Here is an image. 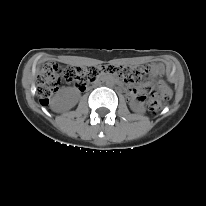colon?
Segmentation results:
<instances>
[{
  "label": "colon",
  "mask_w": 206,
  "mask_h": 206,
  "mask_svg": "<svg viewBox=\"0 0 206 206\" xmlns=\"http://www.w3.org/2000/svg\"><path fill=\"white\" fill-rule=\"evenodd\" d=\"M102 72L122 76L128 81H137L144 78L148 71L144 67L129 68L124 66H108L105 68L71 66L61 69L57 64L46 63L37 75V93L40 103L44 106L48 105L61 80L75 83L81 90H84ZM169 96L168 89L162 84L159 91L149 87L147 97L143 98H148L149 109L152 112H157L163 106L162 100L168 99Z\"/></svg>",
  "instance_id": "obj_1"
}]
</instances>
